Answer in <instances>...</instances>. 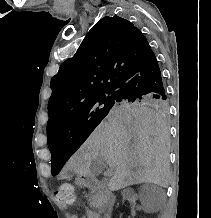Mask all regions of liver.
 Returning a JSON list of instances; mask_svg holds the SVG:
<instances>
[{"label": "liver", "mask_w": 211, "mask_h": 218, "mask_svg": "<svg viewBox=\"0 0 211 218\" xmlns=\"http://www.w3.org/2000/svg\"><path fill=\"white\" fill-rule=\"evenodd\" d=\"M98 158L115 168L113 186L117 190L143 182L167 188L169 134L162 116L148 108H112L70 158L66 170L82 178Z\"/></svg>", "instance_id": "6515ba94"}]
</instances>
